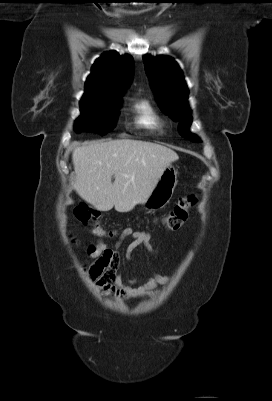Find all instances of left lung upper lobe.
<instances>
[{"instance_id": "1", "label": "left lung upper lobe", "mask_w": 272, "mask_h": 401, "mask_svg": "<svg viewBox=\"0 0 272 401\" xmlns=\"http://www.w3.org/2000/svg\"><path fill=\"white\" fill-rule=\"evenodd\" d=\"M143 59L160 109L171 118L180 120L178 129L183 137L200 142L196 135L188 131L192 122L187 101L188 88L178 64L171 57L145 56Z\"/></svg>"}]
</instances>
